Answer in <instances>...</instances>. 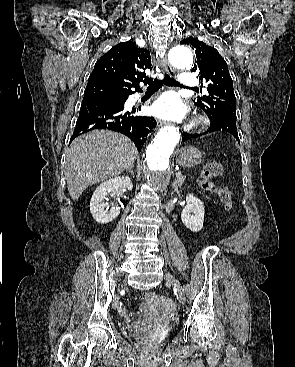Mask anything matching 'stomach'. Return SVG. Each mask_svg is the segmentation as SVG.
I'll return each instance as SVG.
<instances>
[{
	"label": "stomach",
	"instance_id": "0dacf381",
	"mask_svg": "<svg viewBox=\"0 0 295 367\" xmlns=\"http://www.w3.org/2000/svg\"><path fill=\"white\" fill-rule=\"evenodd\" d=\"M176 162L183 168H192L202 162V153L194 146H185L175 154Z\"/></svg>",
	"mask_w": 295,
	"mask_h": 367
}]
</instances>
